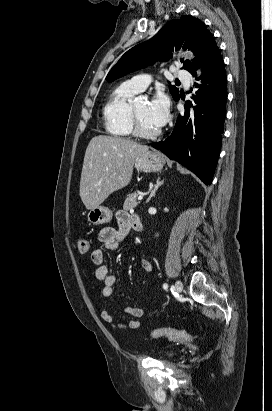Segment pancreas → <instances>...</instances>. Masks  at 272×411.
Wrapping results in <instances>:
<instances>
[{
	"label": "pancreas",
	"mask_w": 272,
	"mask_h": 411,
	"mask_svg": "<svg viewBox=\"0 0 272 411\" xmlns=\"http://www.w3.org/2000/svg\"><path fill=\"white\" fill-rule=\"evenodd\" d=\"M137 197H138V193H137V192L128 194L127 197H126V199H125L123 208H124L125 210H131V209L137 207V205H138V203H139V202L137 201Z\"/></svg>",
	"instance_id": "cf45deb5"
}]
</instances>
